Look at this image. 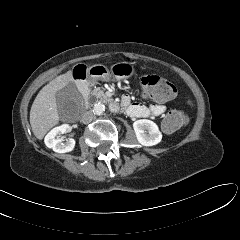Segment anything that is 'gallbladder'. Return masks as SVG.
Returning a JSON list of instances; mask_svg holds the SVG:
<instances>
[{"instance_id":"1","label":"gallbladder","mask_w":240,"mask_h":240,"mask_svg":"<svg viewBox=\"0 0 240 240\" xmlns=\"http://www.w3.org/2000/svg\"><path fill=\"white\" fill-rule=\"evenodd\" d=\"M56 103L60 117L78 108L81 97L74 83L70 82L65 88L56 93Z\"/></svg>"}]
</instances>
